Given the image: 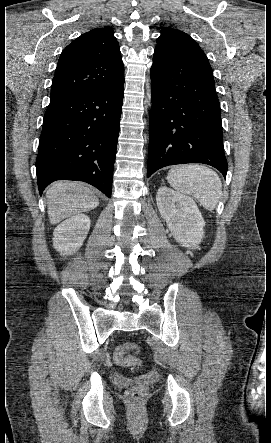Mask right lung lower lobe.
I'll use <instances>...</instances> for the list:
<instances>
[{
  "mask_svg": "<svg viewBox=\"0 0 271 443\" xmlns=\"http://www.w3.org/2000/svg\"><path fill=\"white\" fill-rule=\"evenodd\" d=\"M123 84L51 98L36 159L40 195L65 179L87 182L111 197Z\"/></svg>",
  "mask_w": 271,
  "mask_h": 443,
  "instance_id": "obj_1",
  "label": "right lung lower lobe"
}]
</instances>
